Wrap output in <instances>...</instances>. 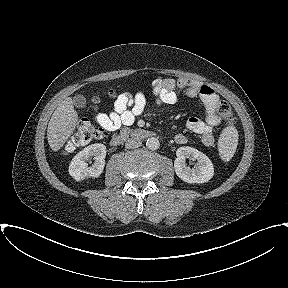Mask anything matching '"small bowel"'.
Listing matches in <instances>:
<instances>
[{
    "instance_id": "1",
    "label": "small bowel",
    "mask_w": 288,
    "mask_h": 288,
    "mask_svg": "<svg viewBox=\"0 0 288 288\" xmlns=\"http://www.w3.org/2000/svg\"><path fill=\"white\" fill-rule=\"evenodd\" d=\"M153 98L158 105H172L177 102V92L185 96L198 97L206 111L205 119L190 117L187 128L199 135L203 145L210 147L214 144L213 129L220 124L221 116L217 110L220 102L217 93L208 85L199 81L180 78L154 79L151 84ZM146 95L138 91L135 94H120L114 102V108L109 113H99L97 122L106 130L115 132L121 126H129L141 115L146 107ZM175 142L183 145L187 143V137L183 133L175 136Z\"/></svg>"
}]
</instances>
